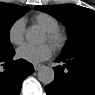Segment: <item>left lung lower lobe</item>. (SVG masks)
I'll list each match as a JSON object with an SVG mask.
<instances>
[{
  "label": "left lung lower lobe",
  "mask_w": 95,
  "mask_h": 95,
  "mask_svg": "<svg viewBox=\"0 0 95 95\" xmlns=\"http://www.w3.org/2000/svg\"><path fill=\"white\" fill-rule=\"evenodd\" d=\"M54 68L55 79L45 87L48 95H95V50L61 55Z\"/></svg>",
  "instance_id": "left-lung-lower-lobe-1"
}]
</instances>
